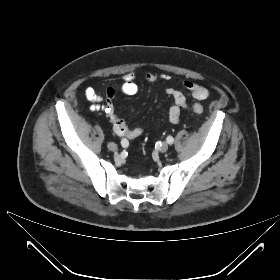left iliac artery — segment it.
Here are the masks:
<instances>
[{"label": "left iliac artery", "mask_w": 280, "mask_h": 280, "mask_svg": "<svg viewBox=\"0 0 280 280\" xmlns=\"http://www.w3.org/2000/svg\"><path fill=\"white\" fill-rule=\"evenodd\" d=\"M166 141H167V143H168L169 145H172L173 142H174V139H173L172 136H168V137L166 138Z\"/></svg>", "instance_id": "obj_1"}]
</instances>
